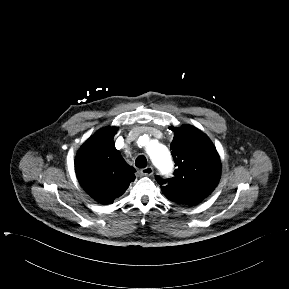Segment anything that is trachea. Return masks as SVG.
Listing matches in <instances>:
<instances>
[{"instance_id":"1","label":"trachea","mask_w":289,"mask_h":289,"mask_svg":"<svg viewBox=\"0 0 289 289\" xmlns=\"http://www.w3.org/2000/svg\"><path fill=\"white\" fill-rule=\"evenodd\" d=\"M135 165L138 167V168H145L147 166V159L145 156L143 155H140L136 158L135 160Z\"/></svg>"}]
</instances>
